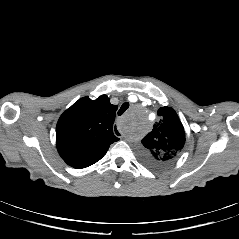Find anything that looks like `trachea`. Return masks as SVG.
Masks as SVG:
<instances>
[{"instance_id": "1", "label": "trachea", "mask_w": 239, "mask_h": 239, "mask_svg": "<svg viewBox=\"0 0 239 239\" xmlns=\"http://www.w3.org/2000/svg\"><path fill=\"white\" fill-rule=\"evenodd\" d=\"M129 107L128 103H124L118 111V115H122Z\"/></svg>"}]
</instances>
